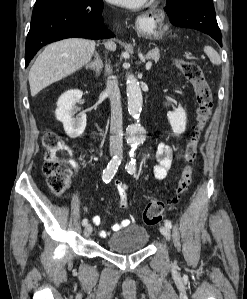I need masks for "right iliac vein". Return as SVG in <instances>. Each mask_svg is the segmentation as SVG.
<instances>
[{
  "label": "right iliac vein",
  "mask_w": 247,
  "mask_h": 299,
  "mask_svg": "<svg viewBox=\"0 0 247 299\" xmlns=\"http://www.w3.org/2000/svg\"><path fill=\"white\" fill-rule=\"evenodd\" d=\"M92 230H93V228H92L91 224H87L86 227L84 228V235L86 237H89L92 233Z\"/></svg>",
  "instance_id": "obj_1"
}]
</instances>
